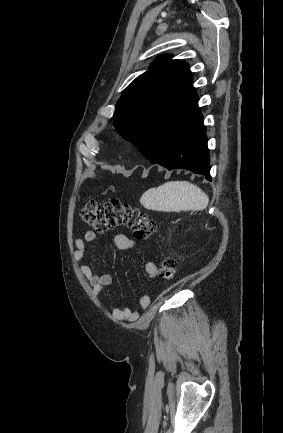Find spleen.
<instances>
[{"mask_svg": "<svg viewBox=\"0 0 283 433\" xmlns=\"http://www.w3.org/2000/svg\"><path fill=\"white\" fill-rule=\"evenodd\" d=\"M149 210H203L209 198L199 186L188 180H170L157 188H148L140 198Z\"/></svg>", "mask_w": 283, "mask_h": 433, "instance_id": "3e777b00", "label": "spleen"}]
</instances>
